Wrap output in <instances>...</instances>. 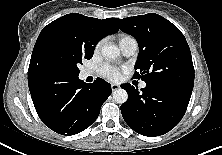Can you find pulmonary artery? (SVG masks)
<instances>
[{"instance_id": "e3ab8cb5", "label": "pulmonary artery", "mask_w": 222, "mask_h": 155, "mask_svg": "<svg viewBox=\"0 0 222 155\" xmlns=\"http://www.w3.org/2000/svg\"><path fill=\"white\" fill-rule=\"evenodd\" d=\"M120 48L125 56H132L133 54L136 53V51L138 49V44L134 39L127 40V41H124L120 44ZM88 75H89V72H87V71L82 72L83 77H86ZM140 86H141V88H145L146 83L142 82Z\"/></svg>"}]
</instances>
